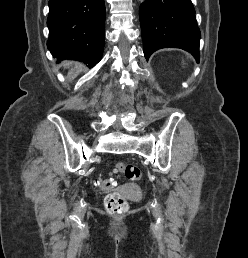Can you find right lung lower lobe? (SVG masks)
<instances>
[{
	"instance_id": "obj_1",
	"label": "right lung lower lobe",
	"mask_w": 248,
	"mask_h": 258,
	"mask_svg": "<svg viewBox=\"0 0 248 258\" xmlns=\"http://www.w3.org/2000/svg\"><path fill=\"white\" fill-rule=\"evenodd\" d=\"M47 47L58 58L83 61L89 67L102 58L104 0H49Z\"/></svg>"
}]
</instances>
